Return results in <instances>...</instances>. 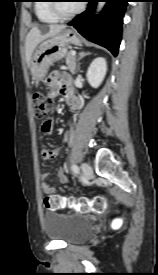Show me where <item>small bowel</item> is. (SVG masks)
Wrapping results in <instances>:
<instances>
[{"instance_id":"small-bowel-1","label":"small bowel","mask_w":158,"mask_h":275,"mask_svg":"<svg viewBox=\"0 0 158 275\" xmlns=\"http://www.w3.org/2000/svg\"><path fill=\"white\" fill-rule=\"evenodd\" d=\"M48 95L51 98L56 97L57 95H63L67 98L69 105L72 108H75L77 106V100L72 95L71 91V82L70 78L63 74L61 71H55L50 76V86L48 89ZM53 130V121L52 120H46L41 125V131L43 134L48 135ZM64 141L67 142L69 140V133H65L63 137ZM60 155V148H46L42 151V158L44 160H50L58 157ZM48 173H43L40 176L41 179V188L45 195H52L55 193L56 188L54 186H51L47 183L48 179ZM57 177L59 179V182L62 184L68 183V178L65 175L62 168H59L57 171Z\"/></svg>"}]
</instances>
